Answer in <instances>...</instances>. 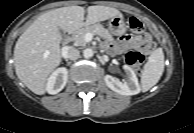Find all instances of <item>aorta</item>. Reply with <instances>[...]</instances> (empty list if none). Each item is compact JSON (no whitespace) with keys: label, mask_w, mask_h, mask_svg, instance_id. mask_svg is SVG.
Listing matches in <instances>:
<instances>
[{"label":"aorta","mask_w":194,"mask_h":133,"mask_svg":"<svg viewBox=\"0 0 194 133\" xmlns=\"http://www.w3.org/2000/svg\"><path fill=\"white\" fill-rule=\"evenodd\" d=\"M83 56L85 58H91L93 56V50L90 49V48H86L84 51H83Z\"/></svg>","instance_id":"1"}]
</instances>
